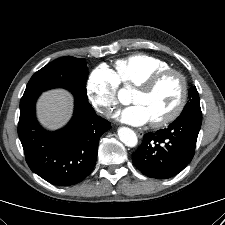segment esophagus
Returning <instances> with one entry per match:
<instances>
[{"instance_id":"obj_1","label":"esophagus","mask_w":225,"mask_h":225,"mask_svg":"<svg viewBox=\"0 0 225 225\" xmlns=\"http://www.w3.org/2000/svg\"><path fill=\"white\" fill-rule=\"evenodd\" d=\"M135 132L139 138H142L144 136V132L142 130L136 129Z\"/></svg>"}]
</instances>
